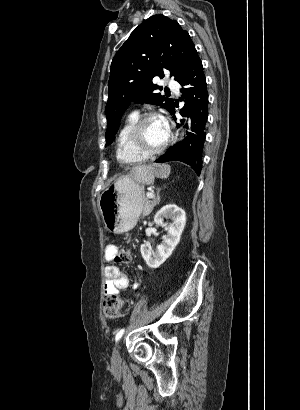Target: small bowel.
<instances>
[{
  "instance_id": "1",
  "label": "small bowel",
  "mask_w": 300,
  "mask_h": 410,
  "mask_svg": "<svg viewBox=\"0 0 300 410\" xmlns=\"http://www.w3.org/2000/svg\"><path fill=\"white\" fill-rule=\"evenodd\" d=\"M117 250L115 244H109L105 248L104 260H105V285L104 292L106 294L118 293L119 291L132 288L138 289L139 284L132 283L130 277L122 272L118 267L114 265V256Z\"/></svg>"
}]
</instances>
